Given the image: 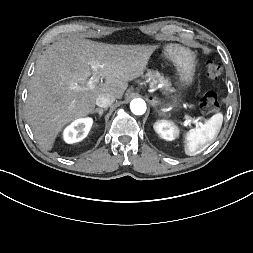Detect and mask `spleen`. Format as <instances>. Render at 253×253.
I'll return each instance as SVG.
<instances>
[{"mask_svg":"<svg viewBox=\"0 0 253 253\" xmlns=\"http://www.w3.org/2000/svg\"><path fill=\"white\" fill-rule=\"evenodd\" d=\"M223 122V115L217 113L202 126L193 128L185 135L184 151L188 156H194L204 150L219 133Z\"/></svg>","mask_w":253,"mask_h":253,"instance_id":"1","label":"spleen"}]
</instances>
